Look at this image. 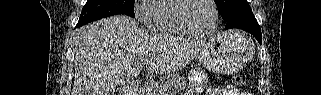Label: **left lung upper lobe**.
<instances>
[{
	"instance_id": "left-lung-upper-lobe-1",
	"label": "left lung upper lobe",
	"mask_w": 321,
	"mask_h": 95,
	"mask_svg": "<svg viewBox=\"0 0 321 95\" xmlns=\"http://www.w3.org/2000/svg\"><path fill=\"white\" fill-rule=\"evenodd\" d=\"M225 21L242 12L250 11L247 0H214Z\"/></svg>"
}]
</instances>
